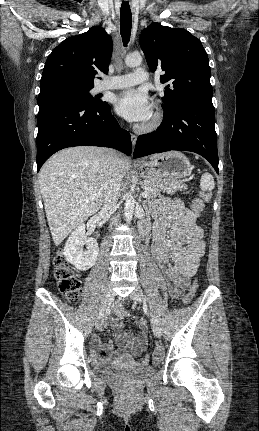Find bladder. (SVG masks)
I'll list each match as a JSON object with an SVG mask.
<instances>
[{
    "label": "bladder",
    "mask_w": 259,
    "mask_h": 431,
    "mask_svg": "<svg viewBox=\"0 0 259 431\" xmlns=\"http://www.w3.org/2000/svg\"><path fill=\"white\" fill-rule=\"evenodd\" d=\"M132 368H133V366L127 362H119V363H116L113 365L104 366V367H102V370L106 373H115L118 371H122V370H126V369H132ZM135 370L143 372V371H150L151 368H144V369L143 368H137Z\"/></svg>",
    "instance_id": "1"
}]
</instances>
